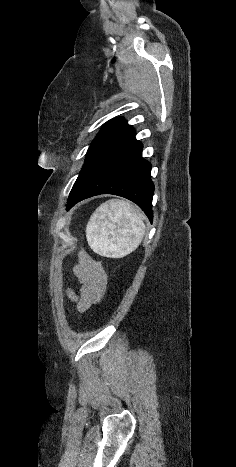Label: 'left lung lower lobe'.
<instances>
[{"mask_svg": "<svg viewBox=\"0 0 236 467\" xmlns=\"http://www.w3.org/2000/svg\"><path fill=\"white\" fill-rule=\"evenodd\" d=\"M142 144L130 128L104 153L89 177L68 198L67 210L77 202L100 194H114L136 203L153 220L151 164L142 157Z\"/></svg>", "mask_w": 236, "mask_h": 467, "instance_id": "left-lung-lower-lobe-1", "label": "left lung lower lobe"}]
</instances>
